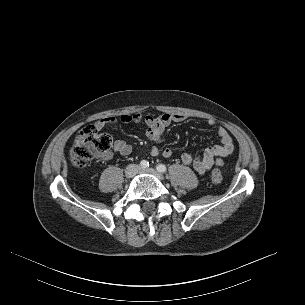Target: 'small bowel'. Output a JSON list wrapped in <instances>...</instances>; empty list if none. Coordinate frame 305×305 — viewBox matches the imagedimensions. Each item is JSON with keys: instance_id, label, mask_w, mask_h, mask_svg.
<instances>
[{"instance_id": "small-bowel-1", "label": "small bowel", "mask_w": 305, "mask_h": 305, "mask_svg": "<svg viewBox=\"0 0 305 305\" xmlns=\"http://www.w3.org/2000/svg\"><path fill=\"white\" fill-rule=\"evenodd\" d=\"M186 119L187 117L182 114L163 113L158 116H152L133 112L123 114L120 117H105L98 120L95 123V126L98 129H102L106 125H112L118 122H122L124 124L142 123L145 126L147 138L150 141L161 143L165 140L166 130L170 125L183 122ZM215 125L216 122L213 119H208L205 122V126L207 128H214ZM216 134L220 139V144L206 148L201 154L186 152L181 156L182 162L185 165L192 166L199 174H204L213 167L223 165V158L228 157L233 153L234 143L226 128L221 126L218 127L216 129ZM113 150L121 156H128L132 152V147L124 140H116L113 144ZM150 154L155 157L162 155L165 158H171L174 155V151L171 148L161 150L159 147L153 146L150 149ZM111 158L112 152L110 151L104 152L101 155V159L103 161H108Z\"/></svg>"}]
</instances>
